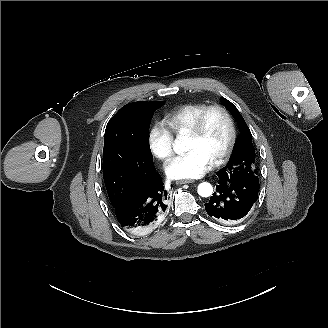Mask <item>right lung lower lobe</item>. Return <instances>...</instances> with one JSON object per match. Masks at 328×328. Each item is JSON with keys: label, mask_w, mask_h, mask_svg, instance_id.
Instances as JSON below:
<instances>
[{"label": "right lung lower lobe", "mask_w": 328, "mask_h": 328, "mask_svg": "<svg viewBox=\"0 0 328 328\" xmlns=\"http://www.w3.org/2000/svg\"><path fill=\"white\" fill-rule=\"evenodd\" d=\"M167 198L162 179L155 171L148 185L130 190L114 207V212L121 227L145 235L162 221Z\"/></svg>", "instance_id": "obj_1"}]
</instances>
